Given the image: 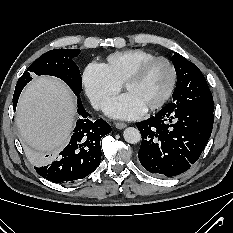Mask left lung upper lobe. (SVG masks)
Here are the masks:
<instances>
[{
  "mask_svg": "<svg viewBox=\"0 0 233 233\" xmlns=\"http://www.w3.org/2000/svg\"><path fill=\"white\" fill-rule=\"evenodd\" d=\"M172 62L177 74L173 102L185 108L213 112V97L202 72L180 54H174Z\"/></svg>",
  "mask_w": 233,
  "mask_h": 233,
  "instance_id": "left-lung-upper-lobe-1",
  "label": "left lung upper lobe"
}]
</instances>
